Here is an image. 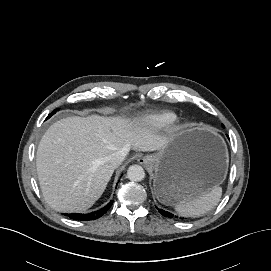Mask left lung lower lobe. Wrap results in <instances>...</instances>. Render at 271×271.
<instances>
[{
  "label": "left lung lower lobe",
  "instance_id": "1",
  "mask_svg": "<svg viewBox=\"0 0 271 271\" xmlns=\"http://www.w3.org/2000/svg\"><path fill=\"white\" fill-rule=\"evenodd\" d=\"M158 211H159V213H160L161 215H163V216H165V217H168V218H174V217H176V216H174L172 213H169V212H167V211H165V210H163V209H159V208H158Z\"/></svg>",
  "mask_w": 271,
  "mask_h": 271
}]
</instances>
